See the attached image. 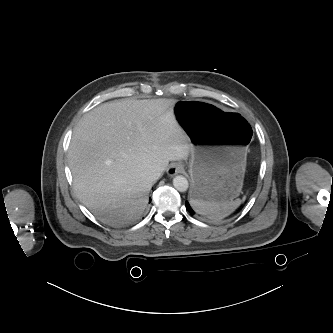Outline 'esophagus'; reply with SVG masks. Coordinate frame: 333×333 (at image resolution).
Here are the masks:
<instances>
[{
  "mask_svg": "<svg viewBox=\"0 0 333 333\" xmlns=\"http://www.w3.org/2000/svg\"><path fill=\"white\" fill-rule=\"evenodd\" d=\"M183 171V166L180 163H172L167 169V173L170 176H174L177 173H181Z\"/></svg>",
  "mask_w": 333,
  "mask_h": 333,
  "instance_id": "1",
  "label": "esophagus"
}]
</instances>
